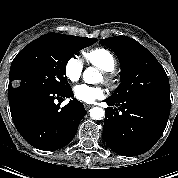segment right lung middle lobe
I'll return each instance as SVG.
<instances>
[{
    "label": "right lung middle lobe",
    "instance_id": "right-lung-middle-lobe-1",
    "mask_svg": "<svg viewBox=\"0 0 178 178\" xmlns=\"http://www.w3.org/2000/svg\"><path fill=\"white\" fill-rule=\"evenodd\" d=\"M96 38L48 33L26 45L13 59L8 91L16 88L64 90L67 62L79 50L94 44Z\"/></svg>",
    "mask_w": 178,
    "mask_h": 178
}]
</instances>
